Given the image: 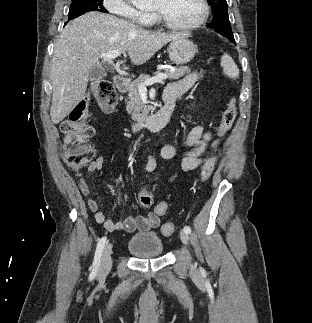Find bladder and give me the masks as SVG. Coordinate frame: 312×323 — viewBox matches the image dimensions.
Wrapping results in <instances>:
<instances>
[{
	"instance_id": "bladder-1",
	"label": "bladder",
	"mask_w": 312,
	"mask_h": 323,
	"mask_svg": "<svg viewBox=\"0 0 312 323\" xmlns=\"http://www.w3.org/2000/svg\"><path fill=\"white\" fill-rule=\"evenodd\" d=\"M133 257H158L163 254L164 244L157 233L133 235L127 244Z\"/></svg>"
}]
</instances>
